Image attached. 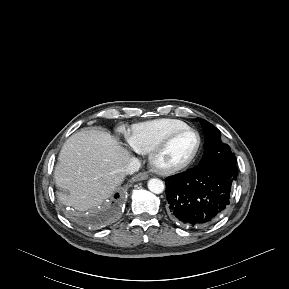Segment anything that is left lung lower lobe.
<instances>
[{
  "label": "left lung lower lobe",
  "instance_id": "0a47b994",
  "mask_svg": "<svg viewBox=\"0 0 289 289\" xmlns=\"http://www.w3.org/2000/svg\"><path fill=\"white\" fill-rule=\"evenodd\" d=\"M237 174L236 165L196 166L166 178L171 219L193 227L216 221L229 205Z\"/></svg>",
  "mask_w": 289,
  "mask_h": 289
}]
</instances>
